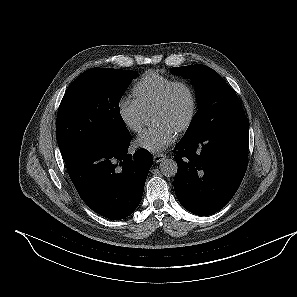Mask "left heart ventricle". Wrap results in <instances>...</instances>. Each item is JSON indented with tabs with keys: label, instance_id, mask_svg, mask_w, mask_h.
Masks as SVG:
<instances>
[{
	"label": "left heart ventricle",
	"instance_id": "left-heart-ventricle-1",
	"mask_svg": "<svg viewBox=\"0 0 297 297\" xmlns=\"http://www.w3.org/2000/svg\"><path fill=\"white\" fill-rule=\"evenodd\" d=\"M190 108L188 93L184 88H177L167 107L153 110L150 118L153 124L165 123L175 132L186 119Z\"/></svg>",
	"mask_w": 297,
	"mask_h": 297
}]
</instances>
